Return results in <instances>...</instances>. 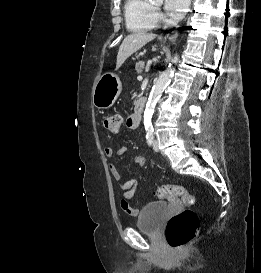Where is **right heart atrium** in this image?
<instances>
[{
    "label": "right heart atrium",
    "mask_w": 261,
    "mask_h": 273,
    "mask_svg": "<svg viewBox=\"0 0 261 273\" xmlns=\"http://www.w3.org/2000/svg\"><path fill=\"white\" fill-rule=\"evenodd\" d=\"M155 14H156V17H157V16H158V17L160 16L159 12H156Z\"/></svg>",
    "instance_id": "obj_1"
}]
</instances>
